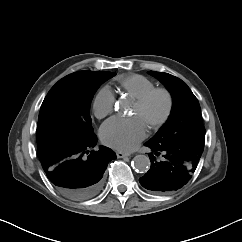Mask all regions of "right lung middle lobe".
I'll return each instance as SVG.
<instances>
[{"label":"right lung middle lobe","instance_id":"1","mask_svg":"<svg viewBox=\"0 0 242 242\" xmlns=\"http://www.w3.org/2000/svg\"><path fill=\"white\" fill-rule=\"evenodd\" d=\"M113 72L94 71L84 79L63 78L48 92L39 112L37 145L62 138L70 141L88 139L93 134L89 114L94 93Z\"/></svg>","mask_w":242,"mask_h":242}]
</instances>
